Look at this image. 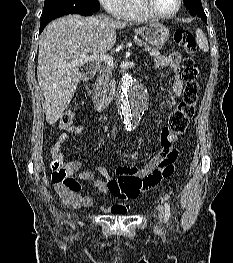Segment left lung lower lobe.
<instances>
[{
    "label": "left lung lower lobe",
    "instance_id": "left-lung-lower-lobe-1",
    "mask_svg": "<svg viewBox=\"0 0 233 263\" xmlns=\"http://www.w3.org/2000/svg\"><path fill=\"white\" fill-rule=\"evenodd\" d=\"M206 24H207V18H206V15L203 16V18H201Z\"/></svg>",
    "mask_w": 233,
    "mask_h": 263
}]
</instances>
